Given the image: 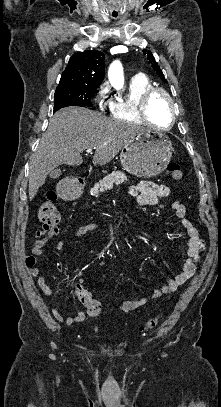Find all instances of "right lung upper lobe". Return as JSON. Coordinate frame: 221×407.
<instances>
[{"mask_svg":"<svg viewBox=\"0 0 221 407\" xmlns=\"http://www.w3.org/2000/svg\"><path fill=\"white\" fill-rule=\"evenodd\" d=\"M104 59V54L97 50L73 54L57 88L71 86L97 88L105 74Z\"/></svg>","mask_w":221,"mask_h":407,"instance_id":"right-lung-upper-lobe-1","label":"right lung upper lobe"}]
</instances>
